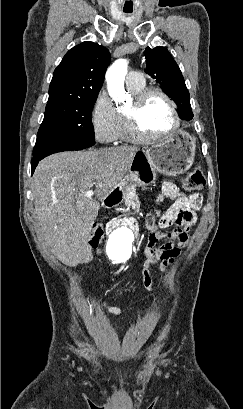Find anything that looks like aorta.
<instances>
[{"mask_svg":"<svg viewBox=\"0 0 243 409\" xmlns=\"http://www.w3.org/2000/svg\"><path fill=\"white\" fill-rule=\"evenodd\" d=\"M128 61L126 59L116 60L106 72V81L109 95L115 102H123L126 98L124 81L127 74ZM134 235L126 226L116 228L108 238L107 253L110 258L116 260L128 256L132 249Z\"/></svg>","mask_w":243,"mask_h":409,"instance_id":"762f6f07","label":"aorta"}]
</instances>
